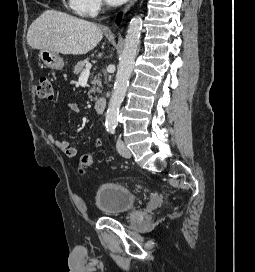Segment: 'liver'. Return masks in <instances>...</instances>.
Returning <instances> with one entry per match:
<instances>
[{
  "label": "liver",
  "instance_id": "1",
  "mask_svg": "<svg viewBox=\"0 0 255 272\" xmlns=\"http://www.w3.org/2000/svg\"><path fill=\"white\" fill-rule=\"evenodd\" d=\"M103 27L90 21L56 11H44L29 27L27 43L64 55H82L101 41Z\"/></svg>",
  "mask_w": 255,
  "mask_h": 272
}]
</instances>
